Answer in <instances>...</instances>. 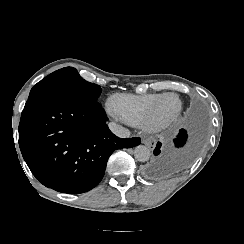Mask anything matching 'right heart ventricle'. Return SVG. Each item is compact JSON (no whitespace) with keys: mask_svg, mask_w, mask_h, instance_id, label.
Instances as JSON below:
<instances>
[{"mask_svg":"<svg viewBox=\"0 0 244 244\" xmlns=\"http://www.w3.org/2000/svg\"><path fill=\"white\" fill-rule=\"evenodd\" d=\"M156 95L122 94L112 99L114 113L124 122L145 125L153 116Z\"/></svg>","mask_w":244,"mask_h":244,"instance_id":"1","label":"right heart ventricle"}]
</instances>
